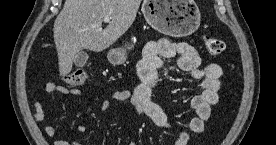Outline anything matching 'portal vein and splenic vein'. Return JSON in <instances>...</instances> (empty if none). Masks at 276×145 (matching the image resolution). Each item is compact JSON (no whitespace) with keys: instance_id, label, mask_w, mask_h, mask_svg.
Returning <instances> with one entry per match:
<instances>
[{"instance_id":"obj_1","label":"portal vein and splenic vein","mask_w":276,"mask_h":145,"mask_svg":"<svg viewBox=\"0 0 276 145\" xmlns=\"http://www.w3.org/2000/svg\"><path fill=\"white\" fill-rule=\"evenodd\" d=\"M111 20V18L109 17V16H105L104 18H103V21L104 22H109Z\"/></svg>"}]
</instances>
